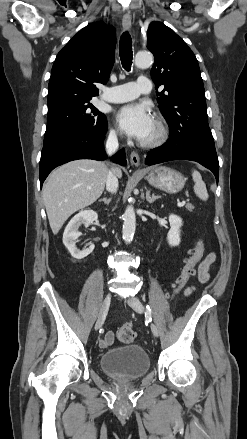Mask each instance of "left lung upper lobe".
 <instances>
[{"label": "left lung upper lobe", "mask_w": 247, "mask_h": 439, "mask_svg": "<svg viewBox=\"0 0 247 439\" xmlns=\"http://www.w3.org/2000/svg\"><path fill=\"white\" fill-rule=\"evenodd\" d=\"M147 38V47L155 57L151 69L155 88L165 86L157 93V101L168 122L170 138L183 146L217 155L208 125L204 85L194 53L161 22L149 25Z\"/></svg>", "instance_id": "obj_1"}]
</instances>
